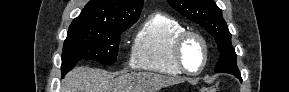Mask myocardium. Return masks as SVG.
Segmentation results:
<instances>
[{
	"label": "myocardium",
	"instance_id": "myocardium-1",
	"mask_svg": "<svg viewBox=\"0 0 289 92\" xmlns=\"http://www.w3.org/2000/svg\"><path fill=\"white\" fill-rule=\"evenodd\" d=\"M189 39H196L197 41H199V43L202 46V51H203L202 63L200 67L195 71L189 70L185 66L183 57H182L184 45ZM173 54H174L175 62L182 72L189 74V75H197L201 73L207 65L208 55H209L208 44H207L206 39L201 34L194 32V31L185 30L175 40V43L173 46Z\"/></svg>",
	"mask_w": 289,
	"mask_h": 92
}]
</instances>
